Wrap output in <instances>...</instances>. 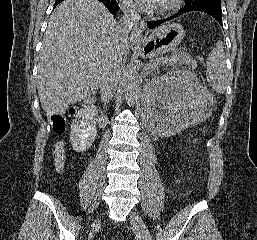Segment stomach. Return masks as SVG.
Segmentation results:
<instances>
[{
  "mask_svg": "<svg viewBox=\"0 0 257 240\" xmlns=\"http://www.w3.org/2000/svg\"><path fill=\"white\" fill-rule=\"evenodd\" d=\"M184 35V29L180 24L167 23L153 30L136 49L143 57H153L172 51L182 41Z\"/></svg>",
  "mask_w": 257,
  "mask_h": 240,
  "instance_id": "stomach-1",
  "label": "stomach"
}]
</instances>
